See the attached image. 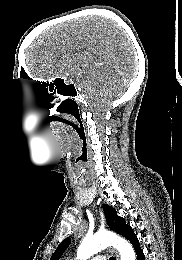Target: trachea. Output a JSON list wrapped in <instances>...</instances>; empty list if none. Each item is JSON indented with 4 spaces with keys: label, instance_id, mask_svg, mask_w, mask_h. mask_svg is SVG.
I'll use <instances>...</instances> for the list:
<instances>
[{
    "label": "trachea",
    "instance_id": "obj_1",
    "mask_svg": "<svg viewBox=\"0 0 182 260\" xmlns=\"http://www.w3.org/2000/svg\"><path fill=\"white\" fill-rule=\"evenodd\" d=\"M110 260H116L114 257H110Z\"/></svg>",
    "mask_w": 182,
    "mask_h": 260
}]
</instances>
